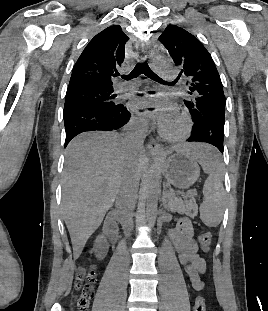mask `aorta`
Returning a JSON list of instances; mask_svg holds the SVG:
<instances>
[{"instance_id":"1","label":"aorta","mask_w":268,"mask_h":311,"mask_svg":"<svg viewBox=\"0 0 268 311\" xmlns=\"http://www.w3.org/2000/svg\"><path fill=\"white\" fill-rule=\"evenodd\" d=\"M153 63L157 72L163 73L166 67V60L162 56H155ZM161 169L154 164L149 172L146 183V215L150 226H154L158 214V198L160 195Z\"/></svg>"}]
</instances>
